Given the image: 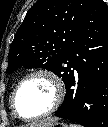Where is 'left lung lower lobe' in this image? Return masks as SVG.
<instances>
[{"mask_svg": "<svg viewBox=\"0 0 108 127\" xmlns=\"http://www.w3.org/2000/svg\"><path fill=\"white\" fill-rule=\"evenodd\" d=\"M64 74L66 95L55 115L85 127H108V7L104 1L88 0Z\"/></svg>", "mask_w": 108, "mask_h": 127, "instance_id": "1", "label": "left lung lower lobe"}]
</instances>
